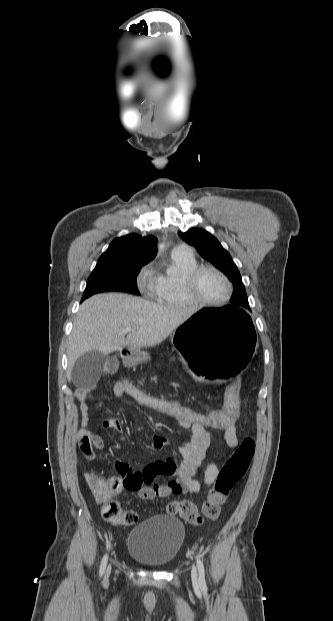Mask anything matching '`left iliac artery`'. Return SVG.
Here are the masks:
<instances>
[{
    "mask_svg": "<svg viewBox=\"0 0 333 621\" xmlns=\"http://www.w3.org/2000/svg\"><path fill=\"white\" fill-rule=\"evenodd\" d=\"M197 562V568H198V572H199V584L202 590H206L207 586H206V581H205V570H204V565L203 562L201 561V559L199 557H197L196 559Z\"/></svg>",
    "mask_w": 333,
    "mask_h": 621,
    "instance_id": "obj_1",
    "label": "left iliac artery"
}]
</instances>
